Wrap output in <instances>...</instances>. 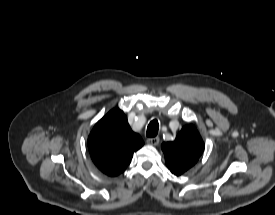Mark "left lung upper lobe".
<instances>
[{
    "label": "left lung upper lobe",
    "instance_id": "obj_1",
    "mask_svg": "<svg viewBox=\"0 0 275 215\" xmlns=\"http://www.w3.org/2000/svg\"><path fill=\"white\" fill-rule=\"evenodd\" d=\"M167 167L177 176L191 168L202 155L203 140L194 125L185 126L173 142L161 146Z\"/></svg>",
    "mask_w": 275,
    "mask_h": 215
}]
</instances>
